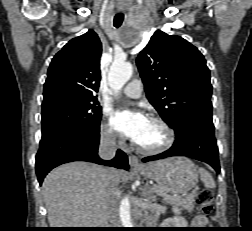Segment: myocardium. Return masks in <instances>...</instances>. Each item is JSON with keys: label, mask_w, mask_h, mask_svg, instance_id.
I'll return each mask as SVG.
<instances>
[{"label": "myocardium", "mask_w": 252, "mask_h": 231, "mask_svg": "<svg viewBox=\"0 0 252 231\" xmlns=\"http://www.w3.org/2000/svg\"><path fill=\"white\" fill-rule=\"evenodd\" d=\"M149 120H151L155 123H158L164 129V131L166 133V141L161 146L156 147V148H146V147L139 145L135 141V148L139 152L144 153V154H148V155H155V154L163 153L173 146L175 139H176L175 131L170 126V124L161 117L152 116Z\"/></svg>", "instance_id": "myocardium-1"}]
</instances>
